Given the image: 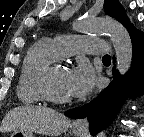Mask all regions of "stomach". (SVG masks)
I'll use <instances>...</instances> for the list:
<instances>
[{
  "mask_svg": "<svg viewBox=\"0 0 144 137\" xmlns=\"http://www.w3.org/2000/svg\"><path fill=\"white\" fill-rule=\"evenodd\" d=\"M73 133L80 137L81 135H83L82 131L78 130V129H73ZM11 137H34L32 132H24V131H13Z\"/></svg>",
  "mask_w": 144,
  "mask_h": 137,
  "instance_id": "0dacf381",
  "label": "stomach"
}]
</instances>
